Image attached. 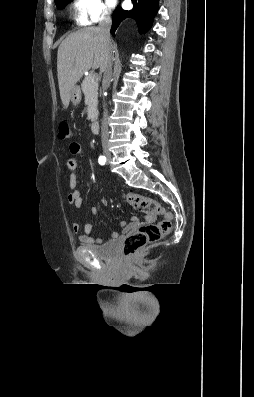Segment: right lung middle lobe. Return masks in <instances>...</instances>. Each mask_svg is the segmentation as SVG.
Wrapping results in <instances>:
<instances>
[{
  "label": "right lung middle lobe",
  "mask_w": 254,
  "mask_h": 397,
  "mask_svg": "<svg viewBox=\"0 0 254 397\" xmlns=\"http://www.w3.org/2000/svg\"><path fill=\"white\" fill-rule=\"evenodd\" d=\"M72 0H56L55 4L58 8H63L66 4L71 2Z\"/></svg>",
  "instance_id": "right-lung-middle-lobe-1"
}]
</instances>
